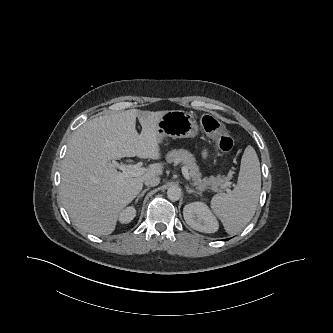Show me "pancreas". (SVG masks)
Returning <instances> with one entry per match:
<instances>
[{"label": "pancreas", "mask_w": 333, "mask_h": 333, "mask_svg": "<svg viewBox=\"0 0 333 333\" xmlns=\"http://www.w3.org/2000/svg\"><path fill=\"white\" fill-rule=\"evenodd\" d=\"M166 159L169 163L182 162L189 172L192 184L200 191L205 189L219 191L226 189L230 184L229 177L226 176L218 175L216 177L210 176L209 178H202L195 157L187 150L174 149L167 154Z\"/></svg>", "instance_id": "cf45deb5"}]
</instances>
